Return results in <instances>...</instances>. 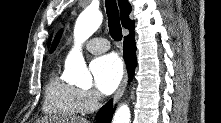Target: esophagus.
Returning a JSON list of instances; mask_svg holds the SVG:
<instances>
[{"instance_id": "1", "label": "esophagus", "mask_w": 221, "mask_h": 123, "mask_svg": "<svg viewBox=\"0 0 221 123\" xmlns=\"http://www.w3.org/2000/svg\"><path fill=\"white\" fill-rule=\"evenodd\" d=\"M127 80H128V76H127V73H125L123 80L114 95V99H113L114 102H116L123 95L125 88H126Z\"/></svg>"}]
</instances>
